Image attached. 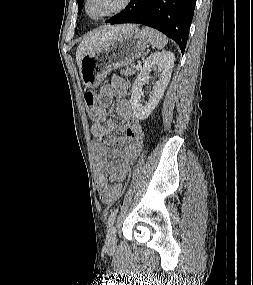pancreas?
<instances>
[{
	"mask_svg": "<svg viewBox=\"0 0 253 285\" xmlns=\"http://www.w3.org/2000/svg\"><path fill=\"white\" fill-rule=\"evenodd\" d=\"M135 69H136V67L132 64L130 66H127L125 69H123L121 71V73L124 75H132V74H135V72H136Z\"/></svg>",
	"mask_w": 253,
	"mask_h": 285,
	"instance_id": "pancreas-1",
	"label": "pancreas"
}]
</instances>
